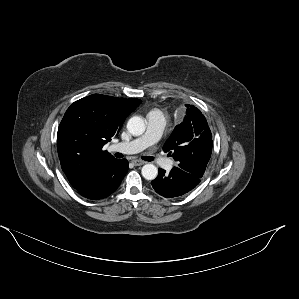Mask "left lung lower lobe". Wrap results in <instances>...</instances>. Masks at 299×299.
<instances>
[{
  "mask_svg": "<svg viewBox=\"0 0 299 299\" xmlns=\"http://www.w3.org/2000/svg\"><path fill=\"white\" fill-rule=\"evenodd\" d=\"M200 180V177L180 167H173L168 174L159 168V175L152 181V187L161 196L174 198L191 191L200 183Z\"/></svg>",
  "mask_w": 299,
  "mask_h": 299,
  "instance_id": "obj_1",
  "label": "left lung lower lobe"
}]
</instances>
